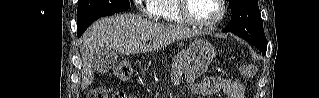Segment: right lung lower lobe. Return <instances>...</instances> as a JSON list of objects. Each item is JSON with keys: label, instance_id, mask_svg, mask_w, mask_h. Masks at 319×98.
Wrapping results in <instances>:
<instances>
[{"label": "right lung lower lobe", "instance_id": "1", "mask_svg": "<svg viewBox=\"0 0 319 98\" xmlns=\"http://www.w3.org/2000/svg\"><path fill=\"white\" fill-rule=\"evenodd\" d=\"M112 14H105V15H99L90 17L81 21H77V36L80 37L83 32L87 29L88 26H90L95 20H97L100 17L108 16Z\"/></svg>", "mask_w": 319, "mask_h": 98}]
</instances>
